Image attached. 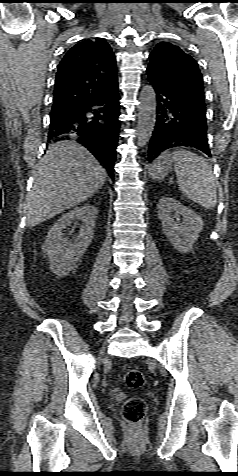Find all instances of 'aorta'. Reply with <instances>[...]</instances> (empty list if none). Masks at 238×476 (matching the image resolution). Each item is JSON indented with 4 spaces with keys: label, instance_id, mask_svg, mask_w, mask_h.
Instances as JSON below:
<instances>
[{
    "label": "aorta",
    "instance_id": "762f6f07",
    "mask_svg": "<svg viewBox=\"0 0 238 476\" xmlns=\"http://www.w3.org/2000/svg\"><path fill=\"white\" fill-rule=\"evenodd\" d=\"M137 145L145 146L153 133L156 122V95L151 85H144L139 98Z\"/></svg>",
    "mask_w": 238,
    "mask_h": 476
}]
</instances>
